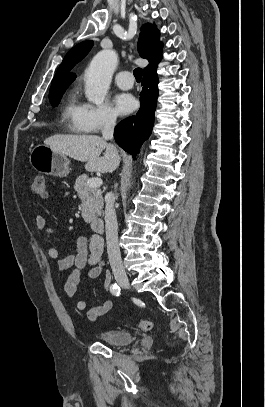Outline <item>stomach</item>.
I'll return each instance as SVG.
<instances>
[{"label": "stomach", "mask_w": 265, "mask_h": 407, "mask_svg": "<svg viewBox=\"0 0 265 407\" xmlns=\"http://www.w3.org/2000/svg\"><path fill=\"white\" fill-rule=\"evenodd\" d=\"M29 161L35 170L46 175L66 177L70 173V161L67 156L45 144L32 149Z\"/></svg>", "instance_id": "stomach-1"}]
</instances>
